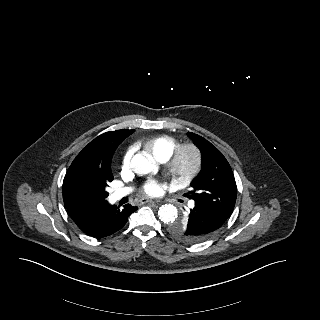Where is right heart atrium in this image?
Returning <instances> with one entry per match:
<instances>
[{
    "mask_svg": "<svg viewBox=\"0 0 320 320\" xmlns=\"http://www.w3.org/2000/svg\"><path fill=\"white\" fill-rule=\"evenodd\" d=\"M132 149L131 148H128L124 155H123V158H122V167L125 169V168H128L129 165H130V160H131V157H132Z\"/></svg>",
    "mask_w": 320,
    "mask_h": 320,
    "instance_id": "right-heart-atrium-1",
    "label": "right heart atrium"
}]
</instances>
